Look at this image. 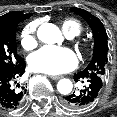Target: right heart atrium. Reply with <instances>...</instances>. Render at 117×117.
<instances>
[{
    "label": "right heart atrium",
    "mask_w": 117,
    "mask_h": 117,
    "mask_svg": "<svg viewBox=\"0 0 117 117\" xmlns=\"http://www.w3.org/2000/svg\"><path fill=\"white\" fill-rule=\"evenodd\" d=\"M37 23H28L21 32V45L26 50H32L37 46Z\"/></svg>",
    "instance_id": "d8ad5b80"
}]
</instances>
